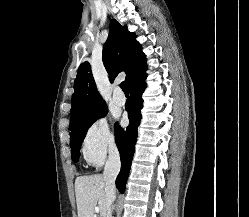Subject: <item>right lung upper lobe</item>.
I'll return each instance as SVG.
<instances>
[{"label":"right lung upper lobe","instance_id":"cb5924a9","mask_svg":"<svg viewBox=\"0 0 249 217\" xmlns=\"http://www.w3.org/2000/svg\"><path fill=\"white\" fill-rule=\"evenodd\" d=\"M102 60L111 82L118 73L124 71L126 81L130 83L146 64V56L142 52L141 45L136 40V35L129 32L126 27L120 25L115 19L111 21L109 36L103 47ZM71 103L70 121L76 120L105 104L96 90L88 62H84L79 66Z\"/></svg>","mask_w":249,"mask_h":217}]
</instances>
